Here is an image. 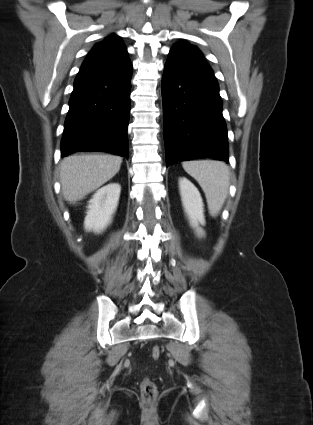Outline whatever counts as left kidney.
<instances>
[{
    "mask_svg": "<svg viewBox=\"0 0 313 425\" xmlns=\"http://www.w3.org/2000/svg\"><path fill=\"white\" fill-rule=\"evenodd\" d=\"M179 190L190 225L196 229L198 236H203L204 231L199 227V224H205L204 204L198 189L188 179L180 178Z\"/></svg>",
    "mask_w": 313,
    "mask_h": 425,
    "instance_id": "left-kidney-1",
    "label": "left kidney"
}]
</instances>
